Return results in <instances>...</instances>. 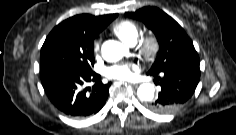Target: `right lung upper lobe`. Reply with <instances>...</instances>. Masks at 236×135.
<instances>
[{
    "mask_svg": "<svg viewBox=\"0 0 236 135\" xmlns=\"http://www.w3.org/2000/svg\"><path fill=\"white\" fill-rule=\"evenodd\" d=\"M117 16L118 14H108L102 16L80 14L63 21L62 23L77 25L83 28L85 31L90 32L97 36Z\"/></svg>",
    "mask_w": 236,
    "mask_h": 135,
    "instance_id": "right-lung-upper-lobe-1",
    "label": "right lung upper lobe"
}]
</instances>
